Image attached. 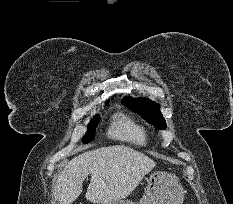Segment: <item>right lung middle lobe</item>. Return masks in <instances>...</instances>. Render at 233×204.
<instances>
[{
    "label": "right lung middle lobe",
    "instance_id": "right-lung-middle-lobe-1",
    "mask_svg": "<svg viewBox=\"0 0 233 204\" xmlns=\"http://www.w3.org/2000/svg\"><path fill=\"white\" fill-rule=\"evenodd\" d=\"M98 122H99V117L98 115H96L95 118L88 125V130L85 136L82 138L83 143H89L91 140H93L95 135V128Z\"/></svg>",
    "mask_w": 233,
    "mask_h": 204
}]
</instances>
